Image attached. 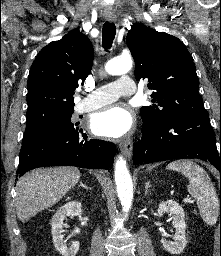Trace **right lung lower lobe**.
<instances>
[{
	"label": "right lung lower lobe",
	"instance_id": "98d812e1",
	"mask_svg": "<svg viewBox=\"0 0 221 256\" xmlns=\"http://www.w3.org/2000/svg\"><path fill=\"white\" fill-rule=\"evenodd\" d=\"M115 154L113 143L88 138L79 123L52 124L23 138L16 177L44 166L109 170Z\"/></svg>",
	"mask_w": 221,
	"mask_h": 256
}]
</instances>
